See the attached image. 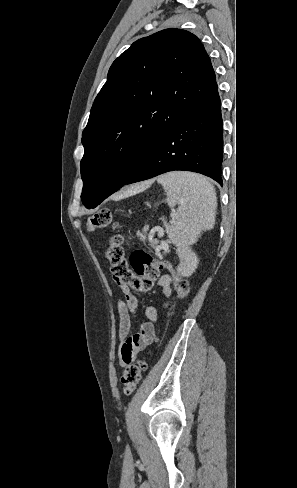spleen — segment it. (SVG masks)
Wrapping results in <instances>:
<instances>
[{
    "mask_svg": "<svg viewBox=\"0 0 297 488\" xmlns=\"http://www.w3.org/2000/svg\"><path fill=\"white\" fill-rule=\"evenodd\" d=\"M158 183L167 192L168 205H178L175 221L171 225L165 223L166 233L177 246L182 264L191 268L196 258L189 246L203 229H211L215 223V190L204 177L188 172H169L158 177Z\"/></svg>",
    "mask_w": 297,
    "mask_h": 488,
    "instance_id": "obj_1",
    "label": "spleen"
}]
</instances>
